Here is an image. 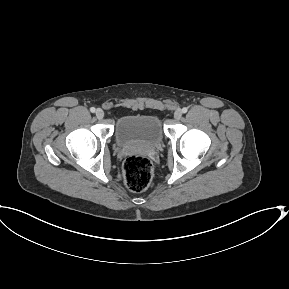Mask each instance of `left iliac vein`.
I'll use <instances>...</instances> for the list:
<instances>
[{
	"label": "left iliac vein",
	"instance_id": "left-iliac-vein-1",
	"mask_svg": "<svg viewBox=\"0 0 289 289\" xmlns=\"http://www.w3.org/2000/svg\"><path fill=\"white\" fill-rule=\"evenodd\" d=\"M182 116V110L181 109H177L175 112H174V118L176 120H179Z\"/></svg>",
	"mask_w": 289,
	"mask_h": 289
}]
</instances>
